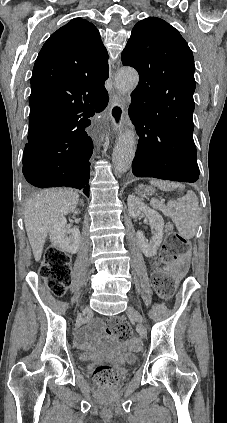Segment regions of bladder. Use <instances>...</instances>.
Here are the masks:
<instances>
[{"label":"bladder","instance_id":"1","mask_svg":"<svg viewBox=\"0 0 227 423\" xmlns=\"http://www.w3.org/2000/svg\"><path fill=\"white\" fill-rule=\"evenodd\" d=\"M78 359L81 365H87L99 358L96 357L92 352H85L80 353ZM102 359L109 360L116 366L126 367L130 365H136L138 362V355L137 353L133 352H124L119 357H105Z\"/></svg>","mask_w":227,"mask_h":423}]
</instances>
